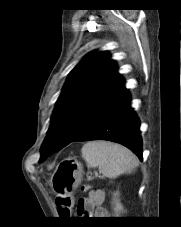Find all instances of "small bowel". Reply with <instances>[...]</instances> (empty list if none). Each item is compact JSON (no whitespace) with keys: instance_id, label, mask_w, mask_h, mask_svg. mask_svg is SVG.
<instances>
[{"instance_id":"obj_1","label":"small bowel","mask_w":181,"mask_h":227,"mask_svg":"<svg viewBox=\"0 0 181 227\" xmlns=\"http://www.w3.org/2000/svg\"><path fill=\"white\" fill-rule=\"evenodd\" d=\"M105 199L101 190L89 192L88 197L80 199L77 206V215H87L95 218L108 216V211L102 206Z\"/></svg>"}]
</instances>
